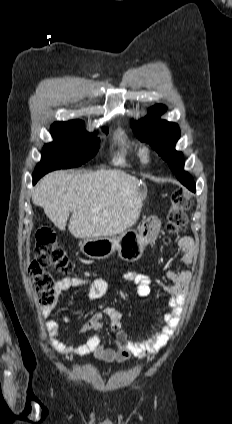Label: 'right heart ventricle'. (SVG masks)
<instances>
[{
    "label": "right heart ventricle",
    "instance_id": "right-heart-ventricle-1",
    "mask_svg": "<svg viewBox=\"0 0 232 424\" xmlns=\"http://www.w3.org/2000/svg\"><path fill=\"white\" fill-rule=\"evenodd\" d=\"M117 146H118V152L114 157V163L117 165H127L129 163V151L126 144L125 139L123 138L122 134H118L117 137ZM141 151H137L136 155L141 158L140 155Z\"/></svg>",
    "mask_w": 232,
    "mask_h": 424
}]
</instances>
